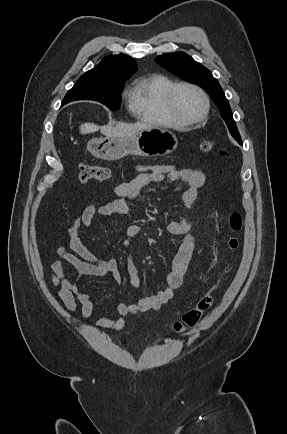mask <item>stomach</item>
<instances>
[{
	"mask_svg": "<svg viewBox=\"0 0 287 434\" xmlns=\"http://www.w3.org/2000/svg\"><path fill=\"white\" fill-rule=\"evenodd\" d=\"M177 144V138L171 131L151 126L130 137L92 139L88 143V149L100 159L115 161L126 155H167L176 149Z\"/></svg>",
	"mask_w": 287,
	"mask_h": 434,
	"instance_id": "obj_1",
	"label": "stomach"
}]
</instances>
